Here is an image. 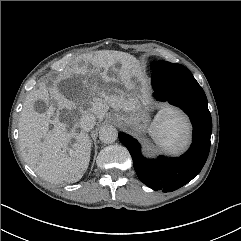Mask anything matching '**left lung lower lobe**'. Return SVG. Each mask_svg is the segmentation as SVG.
Instances as JSON below:
<instances>
[{
	"mask_svg": "<svg viewBox=\"0 0 241 241\" xmlns=\"http://www.w3.org/2000/svg\"><path fill=\"white\" fill-rule=\"evenodd\" d=\"M152 87L156 99L178 106L190 117L193 125L190 149L177 158L160 156L156 160H147L133 137L120 133L119 140L129 150L135 171L145 185L156 191L172 192L191 181L203 168L210 149L212 120L206 95L198 83L171 91L165 77L153 70Z\"/></svg>",
	"mask_w": 241,
	"mask_h": 241,
	"instance_id": "left-lung-lower-lobe-1",
	"label": "left lung lower lobe"
}]
</instances>
